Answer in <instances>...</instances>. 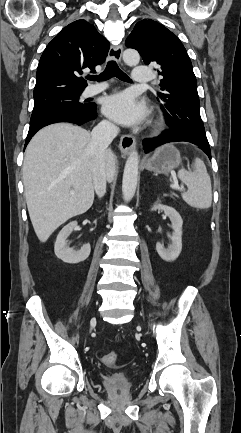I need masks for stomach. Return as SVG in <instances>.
Returning <instances> with one entry per match:
<instances>
[{"mask_svg": "<svg viewBox=\"0 0 241 433\" xmlns=\"http://www.w3.org/2000/svg\"><path fill=\"white\" fill-rule=\"evenodd\" d=\"M181 163L179 151L171 144L156 149L153 155L145 161V168L155 174H169Z\"/></svg>", "mask_w": 241, "mask_h": 433, "instance_id": "0dacf381", "label": "stomach"}]
</instances>
